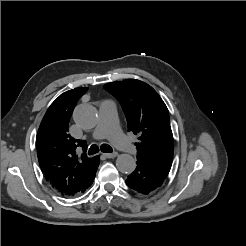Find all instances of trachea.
Returning a JSON list of instances; mask_svg holds the SVG:
<instances>
[{
	"label": "trachea",
	"instance_id": "obj_1",
	"mask_svg": "<svg viewBox=\"0 0 246 246\" xmlns=\"http://www.w3.org/2000/svg\"><path fill=\"white\" fill-rule=\"evenodd\" d=\"M99 150H101V151L104 152V153H111V152H113L112 147L109 146L108 144H102V145L100 146V148H99L96 144H93V145H91V147L89 148L88 154H89V155L96 154V153L99 152Z\"/></svg>",
	"mask_w": 246,
	"mask_h": 246
}]
</instances>
